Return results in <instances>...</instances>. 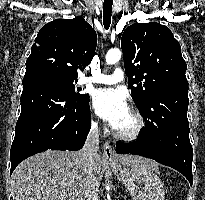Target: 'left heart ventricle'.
I'll return each instance as SVG.
<instances>
[{"label":"left heart ventricle","instance_id":"obj_1","mask_svg":"<svg viewBox=\"0 0 205 200\" xmlns=\"http://www.w3.org/2000/svg\"><path fill=\"white\" fill-rule=\"evenodd\" d=\"M134 126L135 120L132 114L129 112L115 130L120 132H128L131 131L134 128Z\"/></svg>","mask_w":205,"mask_h":200}]
</instances>
